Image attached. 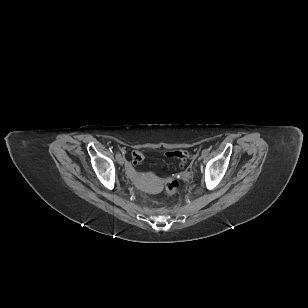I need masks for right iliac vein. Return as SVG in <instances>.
Returning a JSON list of instances; mask_svg holds the SVG:
<instances>
[{
	"instance_id": "obj_1",
	"label": "right iliac vein",
	"mask_w": 308,
	"mask_h": 308,
	"mask_svg": "<svg viewBox=\"0 0 308 308\" xmlns=\"http://www.w3.org/2000/svg\"><path fill=\"white\" fill-rule=\"evenodd\" d=\"M117 161H118V163L120 164V165H123L124 163H125V158L123 157V156H119L118 158H117Z\"/></svg>"
}]
</instances>
